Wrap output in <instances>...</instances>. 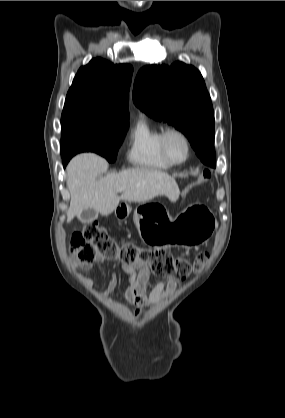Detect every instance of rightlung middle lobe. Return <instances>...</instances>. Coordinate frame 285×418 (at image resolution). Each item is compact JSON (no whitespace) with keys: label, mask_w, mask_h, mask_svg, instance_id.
<instances>
[{"label":"right lung middle lobe","mask_w":285,"mask_h":418,"mask_svg":"<svg viewBox=\"0 0 285 418\" xmlns=\"http://www.w3.org/2000/svg\"><path fill=\"white\" fill-rule=\"evenodd\" d=\"M129 123L115 122L103 117L62 113L61 156L72 158L80 152H95L109 162L116 160Z\"/></svg>","instance_id":"obj_1"}]
</instances>
